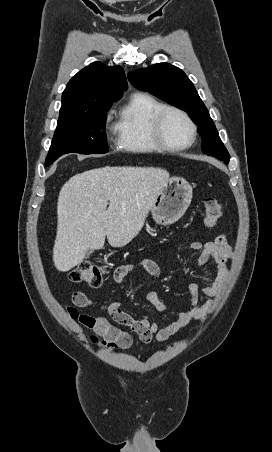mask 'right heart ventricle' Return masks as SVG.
Returning <instances> with one entry per match:
<instances>
[{"label":"right heart ventricle","instance_id":"right-heart-ventricle-1","mask_svg":"<svg viewBox=\"0 0 272 452\" xmlns=\"http://www.w3.org/2000/svg\"><path fill=\"white\" fill-rule=\"evenodd\" d=\"M163 106L154 97L137 93L121 111L116 124L118 145L134 153H152L162 150L151 132V121Z\"/></svg>","mask_w":272,"mask_h":452}]
</instances>
